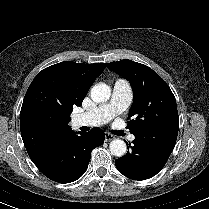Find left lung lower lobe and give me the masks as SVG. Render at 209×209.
Masks as SVG:
<instances>
[{"label":"left lung lower lobe","instance_id":"0a47b994","mask_svg":"<svg viewBox=\"0 0 209 209\" xmlns=\"http://www.w3.org/2000/svg\"><path fill=\"white\" fill-rule=\"evenodd\" d=\"M132 143V151L116 159L115 165L126 177L140 181L153 177L164 167L173 151L176 139L135 136Z\"/></svg>","mask_w":209,"mask_h":209}]
</instances>
